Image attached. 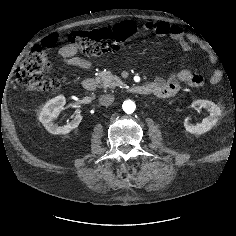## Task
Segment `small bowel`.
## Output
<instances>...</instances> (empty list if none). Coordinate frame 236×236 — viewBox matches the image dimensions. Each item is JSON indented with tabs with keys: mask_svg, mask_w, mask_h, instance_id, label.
<instances>
[{
	"mask_svg": "<svg viewBox=\"0 0 236 236\" xmlns=\"http://www.w3.org/2000/svg\"><path fill=\"white\" fill-rule=\"evenodd\" d=\"M143 29L149 31L157 36H169L175 40L179 47L185 51L193 50V45L198 42V37L194 33L185 32L180 26L170 24L163 21H147L143 24ZM63 62L71 67L81 70H90L97 62L96 58L86 59L78 57V49L72 44H66L59 48L58 51ZM222 79L221 71L217 70L210 76V82L217 84ZM203 77L201 74L182 70L177 73L170 74L167 77H156L149 85L153 88V94L160 98H168L176 95L181 84H186L191 87H200L203 84Z\"/></svg>",
	"mask_w": 236,
	"mask_h": 236,
	"instance_id": "obj_1",
	"label": "small bowel"
}]
</instances>
